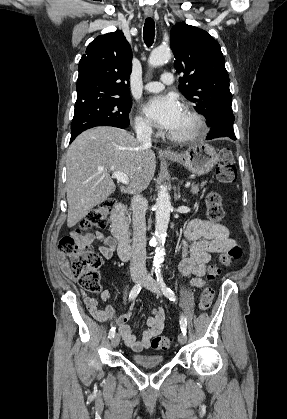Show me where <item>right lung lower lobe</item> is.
Masks as SVG:
<instances>
[{"label": "right lung lower lobe", "mask_w": 287, "mask_h": 419, "mask_svg": "<svg viewBox=\"0 0 287 419\" xmlns=\"http://www.w3.org/2000/svg\"><path fill=\"white\" fill-rule=\"evenodd\" d=\"M113 127H115V126H113ZM118 128H120V127H118ZM78 135L71 137L70 142H72Z\"/></svg>", "instance_id": "98d812e1"}]
</instances>
